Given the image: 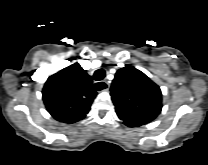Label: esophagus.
I'll use <instances>...</instances> for the list:
<instances>
[{
  "label": "esophagus",
  "mask_w": 208,
  "mask_h": 165,
  "mask_svg": "<svg viewBox=\"0 0 208 165\" xmlns=\"http://www.w3.org/2000/svg\"><path fill=\"white\" fill-rule=\"evenodd\" d=\"M96 84H100V85H102L103 87H105L104 90H109V88H110L109 83L106 82V81L96 82V83L94 84V86H96Z\"/></svg>",
  "instance_id": "34e87169"
}]
</instances>
